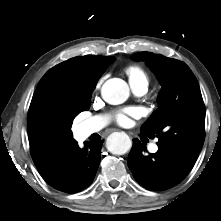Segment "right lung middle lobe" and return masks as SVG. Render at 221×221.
Instances as JSON below:
<instances>
[{"label": "right lung middle lobe", "mask_w": 221, "mask_h": 221, "mask_svg": "<svg viewBox=\"0 0 221 221\" xmlns=\"http://www.w3.org/2000/svg\"><path fill=\"white\" fill-rule=\"evenodd\" d=\"M90 102H91V94H89L84 101L82 102V104H73L71 106V111L73 114V117H76L81 111H86L89 109L90 107Z\"/></svg>", "instance_id": "1"}]
</instances>
